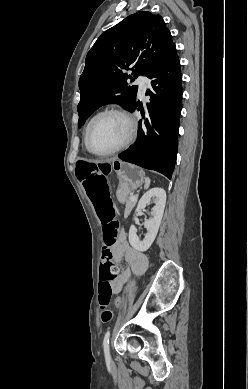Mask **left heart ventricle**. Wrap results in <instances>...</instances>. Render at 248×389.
<instances>
[{
    "instance_id": "1",
    "label": "left heart ventricle",
    "mask_w": 248,
    "mask_h": 389,
    "mask_svg": "<svg viewBox=\"0 0 248 389\" xmlns=\"http://www.w3.org/2000/svg\"><path fill=\"white\" fill-rule=\"evenodd\" d=\"M127 125L116 115L99 118L89 132V147L96 152H106L119 145L126 137Z\"/></svg>"
}]
</instances>
